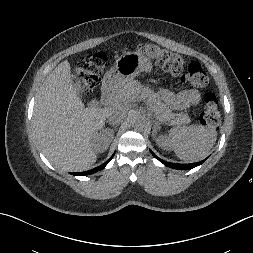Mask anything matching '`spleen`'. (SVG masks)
<instances>
[{"label":"spleen","mask_w":253,"mask_h":253,"mask_svg":"<svg viewBox=\"0 0 253 253\" xmlns=\"http://www.w3.org/2000/svg\"><path fill=\"white\" fill-rule=\"evenodd\" d=\"M216 139L215 127L202 125L174 127L167 137L169 146L176 156L186 162L199 160L208 154Z\"/></svg>","instance_id":"spleen-1"}]
</instances>
